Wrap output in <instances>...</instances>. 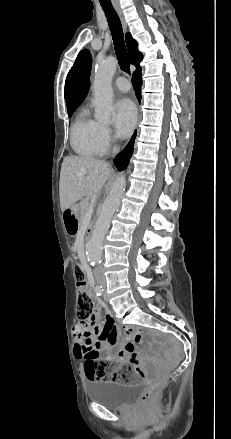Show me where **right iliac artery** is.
I'll use <instances>...</instances> for the list:
<instances>
[{
	"label": "right iliac artery",
	"instance_id": "obj_1",
	"mask_svg": "<svg viewBox=\"0 0 231 439\" xmlns=\"http://www.w3.org/2000/svg\"><path fill=\"white\" fill-rule=\"evenodd\" d=\"M103 289H102V286H96L95 287V292H96V295L97 296H101L102 294H103Z\"/></svg>",
	"mask_w": 231,
	"mask_h": 439
}]
</instances>
